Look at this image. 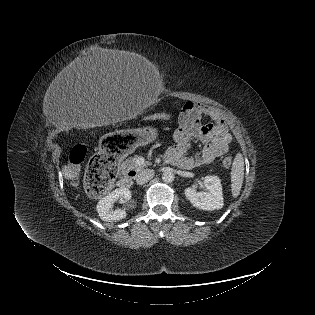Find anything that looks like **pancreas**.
<instances>
[{"label":"pancreas","instance_id":"pancreas-1","mask_svg":"<svg viewBox=\"0 0 315 315\" xmlns=\"http://www.w3.org/2000/svg\"><path fill=\"white\" fill-rule=\"evenodd\" d=\"M138 158L139 156L135 155L134 157L126 160L125 163L128 165V169L139 172L148 165V162H145L144 164H138Z\"/></svg>","mask_w":315,"mask_h":315}]
</instances>
